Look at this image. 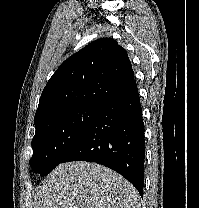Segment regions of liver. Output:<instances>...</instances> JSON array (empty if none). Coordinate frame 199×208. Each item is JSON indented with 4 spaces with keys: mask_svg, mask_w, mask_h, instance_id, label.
<instances>
[{
    "mask_svg": "<svg viewBox=\"0 0 199 208\" xmlns=\"http://www.w3.org/2000/svg\"><path fill=\"white\" fill-rule=\"evenodd\" d=\"M136 188L115 171L84 161L58 165L36 189L33 208H140Z\"/></svg>",
    "mask_w": 199,
    "mask_h": 208,
    "instance_id": "6515ba94",
    "label": "liver"
}]
</instances>
